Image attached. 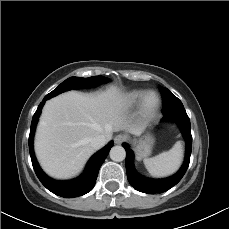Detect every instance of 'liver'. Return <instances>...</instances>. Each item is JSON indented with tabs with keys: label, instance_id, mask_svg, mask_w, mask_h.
<instances>
[{
	"label": "liver",
	"instance_id": "1",
	"mask_svg": "<svg viewBox=\"0 0 229 229\" xmlns=\"http://www.w3.org/2000/svg\"><path fill=\"white\" fill-rule=\"evenodd\" d=\"M126 103L116 88L96 94L75 91L48 100L43 108L35 136V152L46 173L66 179L78 174L94 153L90 141L104 135L128 130L139 135L140 129L125 122Z\"/></svg>",
	"mask_w": 229,
	"mask_h": 229
}]
</instances>
